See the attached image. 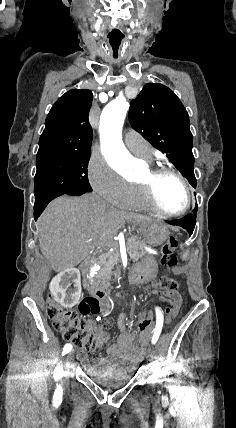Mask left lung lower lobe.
<instances>
[{"mask_svg":"<svg viewBox=\"0 0 236 428\" xmlns=\"http://www.w3.org/2000/svg\"><path fill=\"white\" fill-rule=\"evenodd\" d=\"M197 209L198 208L196 205L192 214H189V215H187L181 219H178V220L167 221V222L171 225H177V226H181V227L185 228L188 231V233L190 235H192L194 227H195V223H196L195 217L197 214Z\"/></svg>","mask_w":236,"mask_h":428,"instance_id":"left-lung-lower-lobe-1","label":"left lung lower lobe"}]
</instances>
